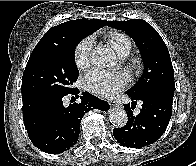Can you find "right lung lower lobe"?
<instances>
[{"instance_id": "98d812e1", "label": "right lung lower lobe", "mask_w": 196, "mask_h": 166, "mask_svg": "<svg viewBox=\"0 0 196 166\" xmlns=\"http://www.w3.org/2000/svg\"><path fill=\"white\" fill-rule=\"evenodd\" d=\"M78 93V89H74L70 94ZM64 96L48 92L22 95L23 120L28 136L38 149L49 154L62 153L76 144L80 122L86 112L95 108L109 109L106 101L88 92L82 93L79 104H69L68 107L63 105Z\"/></svg>"}]
</instances>
